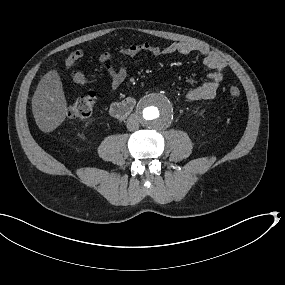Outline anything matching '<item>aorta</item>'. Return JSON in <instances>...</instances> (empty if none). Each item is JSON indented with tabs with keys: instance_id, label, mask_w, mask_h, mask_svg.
I'll use <instances>...</instances> for the list:
<instances>
[{
	"instance_id": "aorta-1",
	"label": "aorta",
	"mask_w": 285,
	"mask_h": 285,
	"mask_svg": "<svg viewBox=\"0 0 285 285\" xmlns=\"http://www.w3.org/2000/svg\"><path fill=\"white\" fill-rule=\"evenodd\" d=\"M140 118L147 128L152 130H161L171 123L173 118V109L166 99L161 97H152L142 104L140 109Z\"/></svg>"
}]
</instances>
